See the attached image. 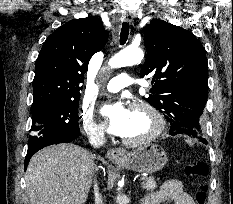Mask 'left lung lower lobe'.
<instances>
[{
	"label": "left lung lower lobe",
	"mask_w": 233,
	"mask_h": 204,
	"mask_svg": "<svg viewBox=\"0 0 233 204\" xmlns=\"http://www.w3.org/2000/svg\"><path fill=\"white\" fill-rule=\"evenodd\" d=\"M190 122H191V119L188 118V117L182 120V124H183V123H186V124H187V123H190ZM199 139L202 141V143L207 144L206 139H204L203 137H199Z\"/></svg>",
	"instance_id": "obj_1"
}]
</instances>
